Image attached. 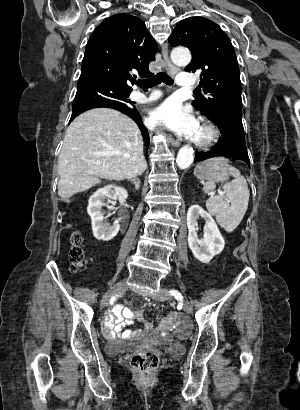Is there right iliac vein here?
<instances>
[{"instance_id":"63e3f726","label":"right iliac vein","mask_w":300,"mask_h":410,"mask_svg":"<svg viewBox=\"0 0 300 410\" xmlns=\"http://www.w3.org/2000/svg\"><path fill=\"white\" fill-rule=\"evenodd\" d=\"M127 289V283L125 281H120L117 284H115L111 289H109L103 296L102 301H101V305L107 306L110 299L115 296L118 295L122 292H124Z\"/></svg>"}]
</instances>
